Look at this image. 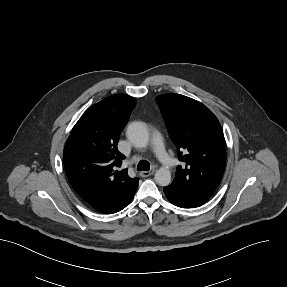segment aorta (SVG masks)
<instances>
[{
	"label": "aorta",
	"mask_w": 287,
	"mask_h": 287,
	"mask_svg": "<svg viewBox=\"0 0 287 287\" xmlns=\"http://www.w3.org/2000/svg\"><path fill=\"white\" fill-rule=\"evenodd\" d=\"M127 138L137 148H145L149 142V134L145 124L133 122L127 128ZM155 181L160 186L171 183V173L168 168L161 167L155 172Z\"/></svg>",
	"instance_id": "obj_1"
}]
</instances>
